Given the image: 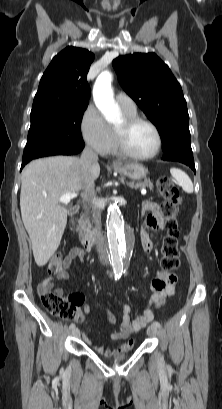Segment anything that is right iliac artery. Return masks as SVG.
Returning a JSON list of instances; mask_svg holds the SVG:
<instances>
[{
	"mask_svg": "<svg viewBox=\"0 0 222 409\" xmlns=\"http://www.w3.org/2000/svg\"><path fill=\"white\" fill-rule=\"evenodd\" d=\"M120 277H121V274H120V273H115V279H116V280L119 279ZM69 328H70V329H74V328H75V324L72 323Z\"/></svg>",
	"mask_w": 222,
	"mask_h": 409,
	"instance_id": "right-iliac-artery-1",
	"label": "right iliac artery"
}]
</instances>
